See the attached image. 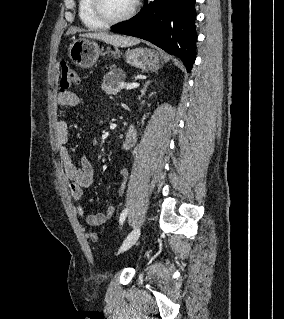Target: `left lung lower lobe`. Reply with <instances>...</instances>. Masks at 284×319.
<instances>
[{"label":"left lung lower lobe","instance_id":"obj_1","mask_svg":"<svg viewBox=\"0 0 284 319\" xmlns=\"http://www.w3.org/2000/svg\"><path fill=\"white\" fill-rule=\"evenodd\" d=\"M195 1L146 0L139 14L111 30L150 41L179 57L190 72L196 55Z\"/></svg>","mask_w":284,"mask_h":319}]
</instances>
